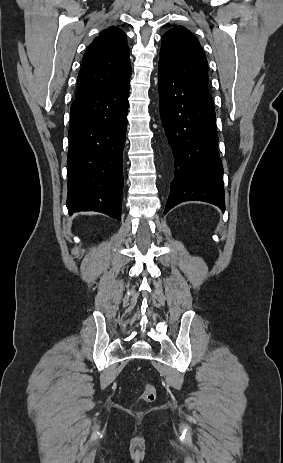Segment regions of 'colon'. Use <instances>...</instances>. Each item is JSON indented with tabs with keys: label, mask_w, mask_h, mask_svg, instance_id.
Listing matches in <instances>:
<instances>
[{
	"label": "colon",
	"mask_w": 283,
	"mask_h": 463,
	"mask_svg": "<svg viewBox=\"0 0 283 463\" xmlns=\"http://www.w3.org/2000/svg\"><path fill=\"white\" fill-rule=\"evenodd\" d=\"M156 398V389L152 384H145L140 399L143 402L150 403Z\"/></svg>",
	"instance_id": "1"
}]
</instances>
